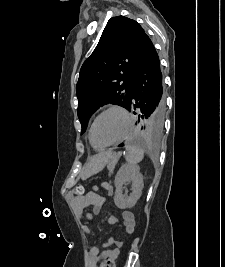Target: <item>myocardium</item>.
Segmentation results:
<instances>
[{"label": "myocardium", "mask_w": 225, "mask_h": 267, "mask_svg": "<svg viewBox=\"0 0 225 267\" xmlns=\"http://www.w3.org/2000/svg\"><path fill=\"white\" fill-rule=\"evenodd\" d=\"M110 111L120 112L124 116L125 121H126L125 129H124L122 135L118 139H116V140H114L112 142L106 143V144H97L95 142V139H94V127H95V124H96L97 120L102 115H104L105 113L110 112ZM131 128H132V118H131V115H130L129 111L127 109H125L124 107H122V106L111 105V106H108L105 109H103L93 119L92 124L90 126V130H89V141H90L92 146H94L96 148H100V149L107 148V147H110V146H114V145H117V144L121 143L122 141H124L126 139V137L128 136V134L131 131Z\"/></svg>", "instance_id": "obj_1"}]
</instances>
